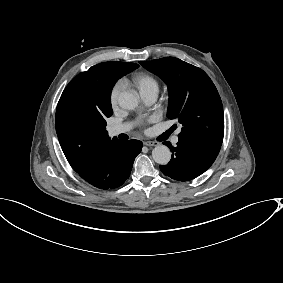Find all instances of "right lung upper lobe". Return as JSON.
I'll use <instances>...</instances> for the list:
<instances>
[{"mask_svg":"<svg viewBox=\"0 0 283 283\" xmlns=\"http://www.w3.org/2000/svg\"><path fill=\"white\" fill-rule=\"evenodd\" d=\"M138 64L103 62L74 77L56 109L55 126L61 148L76 171L120 140L108 136L106 117L112 115L111 91L118 79Z\"/></svg>","mask_w":283,"mask_h":283,"instance_id":"cb5924a9","label":"right lung upper lobe"}]
</instances>
